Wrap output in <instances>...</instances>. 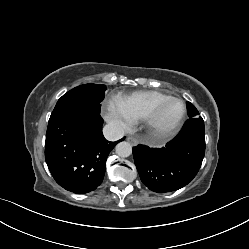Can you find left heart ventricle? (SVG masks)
I'll list each match as a JSON object with an SVG mask.
<instances>
[{
	"mask_svg": "<svg viewBox=\"0 0 249 249\" xmlns=\"http://www.w3.org/2000/svg\"><path fill=\"white\" fill-rule=\"evenodd\" d=\"M181 113V104L178 102H171L162 111L158 119V126L160 128H167L174 124Z\"/></svg>",
	"mask_w": 249,
	"mask_h": 249,
	"instance_id": "1",
	"label": "left heart ventricle"
}]
</instances>
